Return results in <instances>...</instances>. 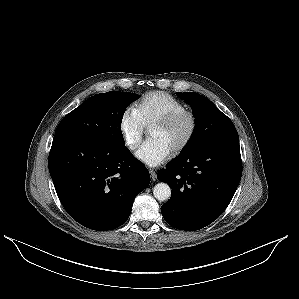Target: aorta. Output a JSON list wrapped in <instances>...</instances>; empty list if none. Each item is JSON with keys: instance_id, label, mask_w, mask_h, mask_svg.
I'll return each mask as SVG.
<instances>
[{"instance_id": "762f6f07", "label": "aorta", "mask_w": 299, "mask_h": 299, "mask_svg": "<svg viewBox=\"0 0 299 299\" xmlns=\"http://www.w3.org/2000/svg\"><path fill=\"white\" fill-rule=\"evenodd\" d=\"M154 197L159 201L168 200L171 196V189L166 183H158L153 188Z\"/></svg>"}]
</instances>
